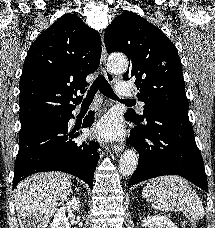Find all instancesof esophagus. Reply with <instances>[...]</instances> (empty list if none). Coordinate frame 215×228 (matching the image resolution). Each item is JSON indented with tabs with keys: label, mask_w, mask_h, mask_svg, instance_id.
I'll use <instances>...</instances> for the list:
<instances>
[{
	"label": "esophagus",
	"mask_w": 215,
	"mask_h": 228,
	"mask_svg": "<svg viewBox=\"0 0 215 228\" xmlns=\"http://www.w3.org/2000/svg\"><path fill=\"white\" fill-rule=\"evenodd\" d=\"M106 62H107V51L105 48L104 39L102 37L101 69L103 71V74L106 80H108L109 83H114L115 82L114 76L108 70ZM124 148H125V144L120 143V144L114 145L113 151L118 154V153H121L124 150Z\"/></svg>",
	"instance_id": "34e87169"
}]
</instances>
